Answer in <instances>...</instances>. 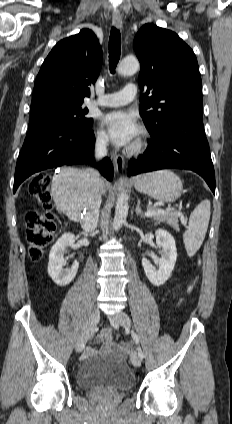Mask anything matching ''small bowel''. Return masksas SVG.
Here are the masks:
<instances>
[{"label": "small bowel", "mask_w": 232, "mask_h": 424, "mask_svg": "<svg viewBox=\"0 0 232 424\" xmlns=\"http://www.w3.org/2000/svg\"><path fill=\"white\" fill-rule=\"evenodd\" d=\"M95 344V347H89L86 349L83 355L85 359L97 354L116 353L120 355H126L130 352V347L125 353L118 348L117 342L112 340V334L109 329H105L100 333V335L96 338Z\"/></svg>", "instance_id": "small-bowel-1"}]
</instances>
